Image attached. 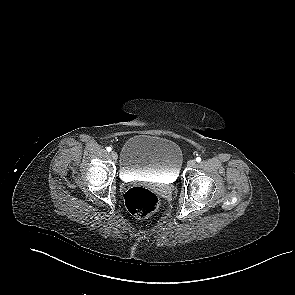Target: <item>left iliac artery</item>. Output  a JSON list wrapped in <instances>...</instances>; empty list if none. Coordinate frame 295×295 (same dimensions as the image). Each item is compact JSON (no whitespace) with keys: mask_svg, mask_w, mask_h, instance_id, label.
<instances>
[{"mask_svg":"<svg viewBox=\"0 0 295 295\" xmlns=\"http://www.w3.org/2000/svg\"><path fill=\"white\" fill-rule=\"evenodd\" d=\"M196 161L199 163V162H201V158L200 157H197L196 158Z\"/></svg>","mask_w":295,"mask_h":295,"instance_id":"1","label":"left iliac artery"}]
</instances>
